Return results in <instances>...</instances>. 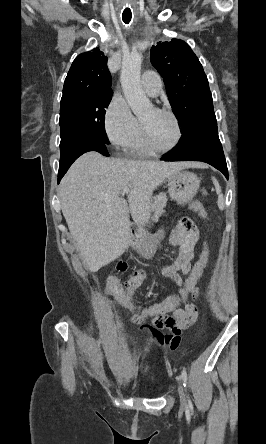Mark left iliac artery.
Segmentation results:
<instances>
[{
	"instance_id": "left-iliac-artery-1",
	"label": "left iliac artery",
	"mask_w": 266,
	"mask_h": 444,
	"mask_svg": "<svg viewBox=\"0 0 266 444\" xmlns=\"http://www.w3.org/2000/svg\"><path fill=\"white\" fill-rule=\"evenodd\" d=\"M182 380L184 382V387L187 386V372L185 369H183L182 374H181ZM190 402V400H188Z\"/></svg>"
}]
</instances>
